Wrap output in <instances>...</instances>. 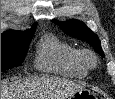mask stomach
I'll use <instances>...</instances> for the list:
<instances>
[{
	"mask_svg": "<svg viewBox=\"0 0 115 99\" xmlns=\"http://www.w3.org/2000/svg\"><path fill=\"white\" fill-rule=\"evenodd\" d=\"M92 98H96L93 92L84 88L72 93L68 97V99H92Z\"/></svg>",
	"mask_w": 115,
	"mask_h": 99,
	"instance_id": "obj_1",
	"label": "stomach"
}]
</instances>
